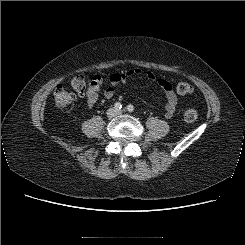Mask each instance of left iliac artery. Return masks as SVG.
<instances>
[{
  "mask_svg": "<svg viewBox=\"0 0 245 245\" xmlns=\"http://www.w3.org/2000/svg\"><path fill=\"white\" fill-rule=\"evenodd\" d=\"M127 110L129 111V112H133L134 111V106L133 105H128L127 106Z\"/></svg>",
  "mask_w": 245,
  "mask_h": 245,
  "instance_id": "left-iliac-artery-1",
  "label": "left iliac artery"
}]
</instances>
